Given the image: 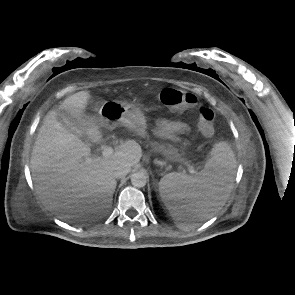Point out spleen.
Wrapping results in <instances>:
<instances>
[{"label": "spleen", "instance_id": "1", "mask_svg": "<svg viewBox=\"0 0 295 295\" xmlns=\"http://www.w3.org/2000/svg\"><path fill=\"white\" fill-rule=\"evenodd\" d=\"M236 159L226 142L214 145L211 157L196 176L172 172L161 178L159 192L179 227L191 228L188 221L210 216L229 197Z\"/></svg>", "mask_w": 295, "mask_h": 295}]
</instances>
